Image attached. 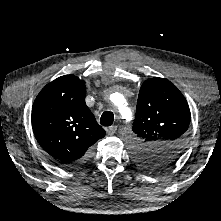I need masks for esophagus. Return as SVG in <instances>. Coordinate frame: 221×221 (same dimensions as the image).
<instances>
[{
  "label": "esophagus",
  "instance_id": "34e87169",
  "mask_svg": "<svg viewBox=\"0 0 221 221\" xmlns=\"http://www.w3.org/2000/svg\"><path fill=\"white\" fill-rule=\"evenodd\" d=\"M116 130H117V126L113 125V126H110L106 131L108 135H113L116 132Z\"/></svg>",
  "mask_w": 221,
  "mask_h": 221
}]
</instances>
